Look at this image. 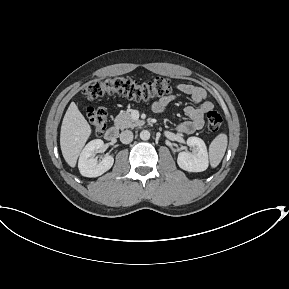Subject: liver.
Listing matches in <instances>:
<instances>
[{
	"instance_id": "liver-1",
	"label": "liver",
	"mask_w": 289,
	"mask_h": 289,
	"mask_svg": "<svg viewBox=\"0 0 289 289\" xmlns=\"http://www.w3.org/2000/svg\"><path fill=\"white\" fill-rule=\"evenodd\" d=\"M91 135V127L75 102L69 105L61 126L60 146L67 164L75 167L78 156Z\"/></svg>"
}]
</instances>
